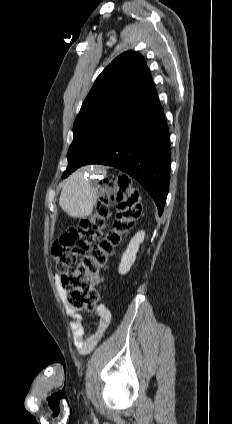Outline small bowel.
I'll list each match as a JSON object with an SVG mask.
<instances>
[{"label":"small bowel","mask_w":232,"mask_h":424,"mask_svg":"<svg viewBox=\"0 0 232 424\" xmlns=\"http://www.w3.org/2000/svg\"><path fill=\"white\" fill-rule=\"evenodd\" d=\"M72 316L70 328L73 334V342L75 347L81 354L89 353L102 339L105 331L111 322V313L108 307L100 304L96 307L95 314L97 316L95 330L87 332L83 321L84 317L81 313L69 310Z\"/></svg>","instance_id":"obj_1"}]
</instances>
